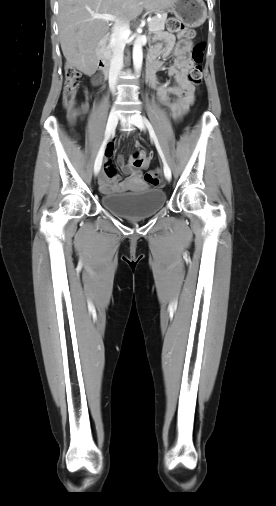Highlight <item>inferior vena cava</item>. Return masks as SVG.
I'll list each match as a JSON object with an SVG mask.
<instances>
[{"mask_svg":"<svg viewBox=\"0 0 276 506\" xmlns=\"http://www.w3.org/2000/svg\"><path fill=\"white\" fill-rule=\"evenodd\" d=\"M128 32V24L118 22L114 25L111 36V44L113 47V55L109 69L110 89L114 93L115 85L119 74L123 68V51L125 47V36Z\"/></svg>","mask_w":276,"mask_h":506,"instance_id":"1","label":"inferior vena cava"}]
</instances>
